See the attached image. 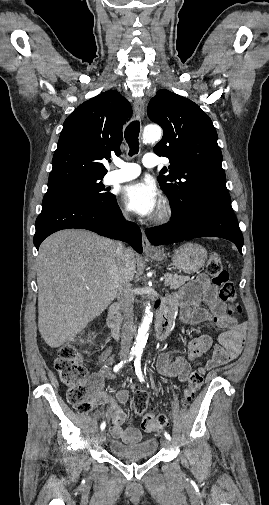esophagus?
<instances>
[{
	"mask_svg": "<svg viewBox=\"0 0 269 505\" xmlns=\"http://www.w3.org/2000/svg\"><path fill=\"white\" fill-rule=\"evenodd\" d=\"M134 110H135V114L137 116L138 119H143L144 118V115H145V104H144V100L142 98H136L135 101H134ZM142 246H143V252L144 253H152V252H156V248H154L146 234H145V231L142 229Z\"/></svg>",
	"mask_w": 269,
	"mask_h": 505,
	"instance_id": "1",
	"label": "esophagus"
}]
</instances>
